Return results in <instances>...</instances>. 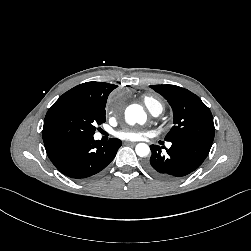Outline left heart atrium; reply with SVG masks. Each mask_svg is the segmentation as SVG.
Instances as JSON below:
<instances>
[{
  "label": "left heart atrium",
  "mask_w": 251,
  "mask_h": 251,
  "mask_svg": "<svg viewBox=\"0 0 251 251\" xmlns=\"http://www.w3.org/2000/svg\"><path fill=\"white\" fill-rule=\"evenodd\" d=\"M146 133L137 128H127L119 131L117 136L123 140L136 141L143 138Z\"/></svg>",
  "instance_id": "left-heart-atrium-1"
}]
</instances>
